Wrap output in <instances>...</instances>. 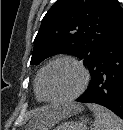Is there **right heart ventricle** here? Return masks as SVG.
<instances>
[{
    "mask_svg": "<svg viewBox=\"0 0 123 130\" xmlns=\"http://www.w3.org/2000/svg\"><path fill=\"white\" fill-rule=\"evenodd\" d=\"M40 72L41 69L37 72L36 76H35V80H34V90H35V94H36V98L39 101H42V97L40 95V91H39V77H40Z\"/></svg>",
    "mask_w": 123,
    "mask_h": 130,
    "instance_id": "obj_1",
    "label": "right heart ventricle"
}]
</instances>
